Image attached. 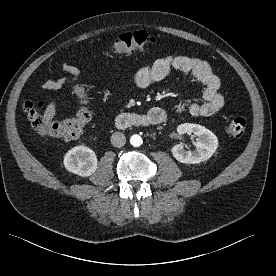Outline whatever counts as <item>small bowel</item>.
Listing matches in <instances>:
<instances>
[{"label": "small bowel", "mask_w": 276, "mask_h": 276, "mask_svg": "<svg viewBox=\"0 0 276 276\" xmlns=\"http://www.w3.org/2000/svg\"><path fill=\"white\" fill-rule=\"evenodd\" d=\"M172 70L182 73L192 74L204 86L203 102L192 103L189 112L193 116H211L217 113L224 104L222 95L219 93L220 81L213 73L210 65L200 59L192 58L184 54H171L158 58L153 64L139 69L134 80L139 88L145 89L153 83L167 77ZM62 77L55 80H47L42 83L43 90H60L69 80L76 81L80 75L79 69L65 62L61 68ZM162 110L159 107H153L148 111V115H154Z\"/></svg>", "instance_id": "c3829d8e"}]
</instances>
